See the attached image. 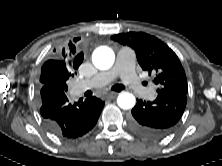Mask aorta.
I'll list each match as a JSON object with an SVG mask.
<instances>
[{"instance_id":"1","label":"aorta","mask_w":222,"mask_h":166,"mask_svg":"<svg viewBox=\"0 0 222 166\" xmlns=\"http://www.w3.org/2000/svg\"><path fill=\"white\" fill-rule=\"evenodd\" d=\"M95 67L100 70H107L112 67L115 61L113 50L107 46L98 47L92 56ZM135 96L129 92H122L118 95L117 104L124 110L131 109L135 106Z\"/></svg>"}]
</instances>
